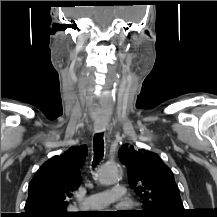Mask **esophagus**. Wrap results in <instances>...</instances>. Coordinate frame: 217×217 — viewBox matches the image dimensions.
I'll use <instances>...</instances> for the list:
<instances>
[{"mask_svg": "<svg viewBox=\"0 0 217 217\" xmlns=\"http://www.w3.org/2000/svg\"><path fill=\"white\" fill-rule=\"evenodd\" d=\"M104 130H105V127L103 125H96V126H94V131L96 133L103 132Z\"/></svg>", "mask_w": 217, "mask_h": 217, "instance_id": "34e87169", "label": "esophagus"}]
</instances>
